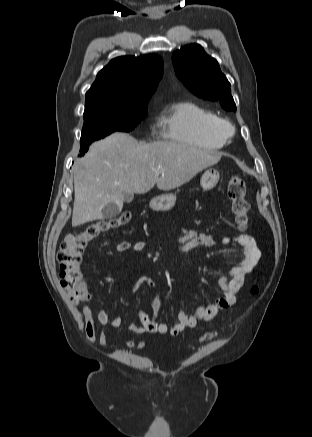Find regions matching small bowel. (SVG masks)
Returning a JSON list of instances; mask_svg holds the SVG:
<instances>
[{
  "mask_svg": "<svg viewBox=\"0 0 312 437\" xmlns=\"http://www.w3.org/2000/svg\"><path fill=\"white\" fill-rule=\"evenodd\" d=\"M174 233L176 234V243L179 251H185L188 247L202 246L212 248L217 245V241L212 235L192 228H181L175 230ZM233 243L241 247L239 263L233 267L227 275L219 279V285L223 294L213 303L207 306H197L193 315H189L186 311L180 310L177 314L178 321L173 325H168L158 319L162 300L160 297H157L152 304V314H148L141 309L137 310V316L141 325L137 326L129 323L128 329L137 334L150 333L177 336L187 328H194L199 321H210L215 318L220 311L231 307L236 300V294L241 288L245 276L254 269L261 257V252L252 236L241 234L235 237H224L223 244L225 246L231 247ZM145 247L146 244L143 241L131 242L123 240L116 245L115 250L118 253L128 251L141 252ZM141 285L155 287L156 283L151 277L144 276L138 279L134 290H138ZM82 319L85 334L90 342H98L107 348H116L118 346L109 341L108 336L103 330L96 328L93 310L90 305H86L83 308ZM97 320L102 325L111 327H119L122 324L121 317L111 316L103 310L98 312ZM122 343L126 347L133 349H143L146 347L145 342L132 339H123Z\"/></svg>",
  "mask_w": 312,
  "mask_h": 437,
  "instance_id": "1",
  "label": "small bowel"
}]
</instances>
